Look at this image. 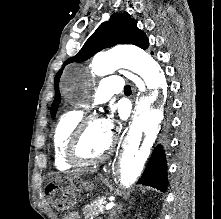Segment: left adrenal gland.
I'll use <instances>...</instances> for the list:
<instances>
[{
  "label": "left adrenal gland",
  "instance_id": "1",
  "mask_svg": "<svg viewBox=\"0 0 221 219\" xmlns=\"http://www.w3.org/2000/svg\"><path fill=\"white\" fill-rule=\"evenodd\" d=\"M121 210H122V206L121 205H117L116 206V210L113 211L112 216L114 215L116 217L117 216V212L120 214ZM111 219H113V218H111Z\"/></svg>",
  "mask_w": 221,
  "mask_h": 219
}]
</instances>
